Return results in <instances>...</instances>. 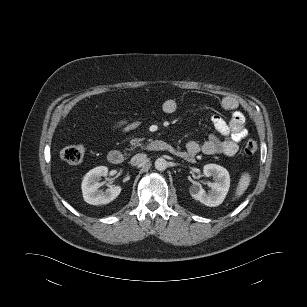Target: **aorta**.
<instances>
[{
  "instance_id": "obj_1",
  "label": "aorta",
  "mask_w": 307,
  "mask_h": 307,
  "mask_svg": "<svg viewBox=\"0 0 307 307\" xmlns=\"http://www.w3.org/2000/svg\"><path fill=\"white\" fill-rule=\"evenodd\" d=\"M154 164L158 171H164L168 167V162L164 158H157Z\"/></svg>"
}]
</instances>
